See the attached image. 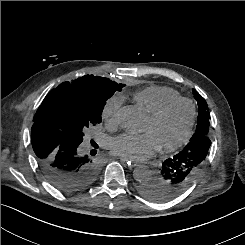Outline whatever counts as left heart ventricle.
I'll use <instances>...</instances> for the list:
<instances>
[{
	"label": "left heart ventricle",
	"instance_id": "b2bd125f",
	"mask_svg": "<svg viewBox=\"0 0 245 245\" xmlns=\"http://www.w3.org/2000/svg\"><path fill=\"white\" fill-rule=\"evenodd\" d=\"M189 119V106L185 103H179L158 121H152L148 118L142 132L150 134L158 147L173 144L183 136Z\"/></svg>",
	"mask_w": 245,
	"mask_h": 245
}]
</instances>
